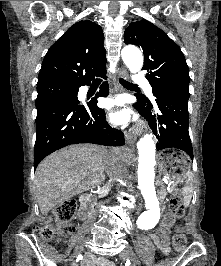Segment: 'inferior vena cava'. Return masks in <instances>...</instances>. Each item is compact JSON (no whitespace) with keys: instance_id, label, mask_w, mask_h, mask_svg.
<instances>
[{"instance_id":"obj_1","label":"inferior vena cava","mask_w":221,"mask_h":266,"mask_svg":"<svg viewBox=\"0 0 221 266\" xmlns=\"http://www.w3.org/2000/svg\"><path fill=\"white\" fill-rule=\"evenodd\" d=\"M105 172L112 179H121L126 172V167L118 157L108 153L105 157Z\"/></svg>"}]
</instances>
